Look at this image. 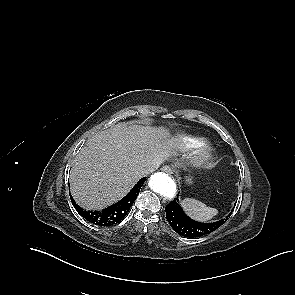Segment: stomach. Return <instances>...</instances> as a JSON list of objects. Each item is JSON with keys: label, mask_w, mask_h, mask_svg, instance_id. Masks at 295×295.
<instances>
[{"label": "stomach", "mask_w": 295, "mask_h": 295, "mask_svg": "<svg viewBox=\"0 0 295 295\" xmlns=\"http://www.w3.org/2000/svg\"><path fill=\"white\" fill-rule=\"evenodd\" d=\"M186 182H187L188 184H191V183H192V178H191V177H188V178L186 179Z\"/></svg>", "instance_id": "obj_1"}]
</instances>
